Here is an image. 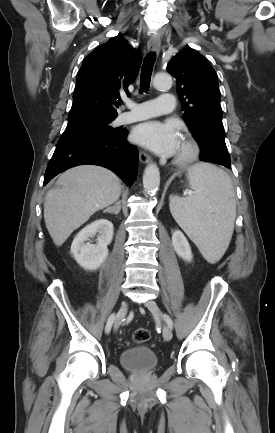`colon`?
I'll return each instance as SVG.
<instances>
[{
  "instance_id": "5ec220e1",
  "label": "colon",
  "mask_w": 275,
  "mask_h": 433,
  "mask_svg": "<svg viewBox=\"0 0 275 433\" xmlns=\"http://www.w3.org/2000/svg\"><path fill=\"white\" fill-rule=\"evenodd\" d=\"M150 332L145 328H138L133 332V341L137 344H142L148 341Z\"/></svg>"
}]
</instances>
